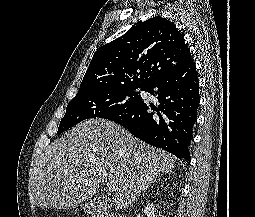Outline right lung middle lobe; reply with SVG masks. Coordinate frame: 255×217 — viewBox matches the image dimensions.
I'll return each mask as SVG.
<instances>
[{"label": "right lung middle lobe", "instance_id": "dd1d6c3e", "mask_svg": "<svg viewBox=\"0 0 255 217\" xmlns=\"http://www.w3.org/2000/svg\"><path fill=\"white\" fill-rule=\"evenodd\" d=\"M137 89L145 91L146 87L124 86L78 92L68 103L57 133L89 118L109 119L128 112L142 101L140 92H135Z\"/></svg>", "mask_w": 255, "mask_h": 217}]
</instances>
